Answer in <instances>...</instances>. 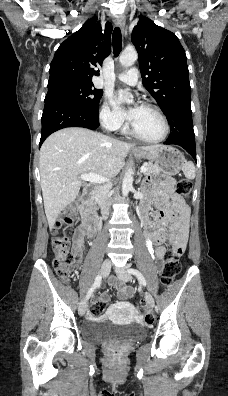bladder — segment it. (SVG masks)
<instances>
[{"label":"bladder","mask_w":228,"mask_h":396,"mask_svg":"<svg viewBox=\"0 0 228 396\" xmlns=\"http://www.w3.org/2000/svg\"><path fill=\"white\" fill-rule=\"evenodd\" d=\"M82 338L92 343L131 342L142 340L146 329L139 324L119 325L109 320L90 319L80 330Z\"/></svg>","instance_id":"1"}]
</instances>
